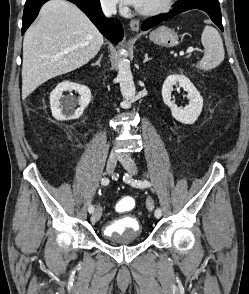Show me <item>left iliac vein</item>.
I'll use <instances>...</instances> for the list:
<instances>
[{"mask_svg":"<svg viewBox=\"0 0 249 294\" xmlns=\"http://www.w3.org/2000/svg\"><path fill=\"white\" fill-rule=\"evenodd\" d=\"M119 161L131 175H135L137 173V165L128 154L120 155ZM147 208L149 211H152L154 208V201L151 197L147 198Z\"/></svg>","mask_w":249,"mask_h":294,"instance_id":"obj_1","label":"left iliac vein"}]
</instances>
